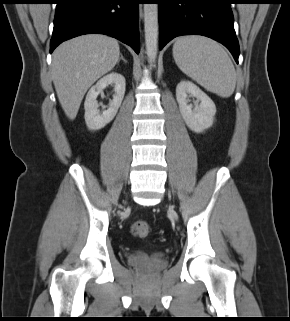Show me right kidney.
Here are the masks:
<instances>
[{
	"mask_svg": "<svg viewBox=\"0 0 290 321\" xmlns=\"http://www.w3.org/2000/svg\"><path fill=\"white\" fill-rule=\"evenodd\" d=\"M114 84L113 100L110 101L107 110L100 112L97 97L103 93V90L108 86ZM125 78L117 72H112L102 77L94 86L91 87L87 93L84 109L85 122L90 130H99L110 123L117 114L119 107L125 94Z\"/></svg>",
	"mask_w": 290,
	"mask_h": 321,
	"instance_id": "right-kidney-1",
	"label": "right kidney"
}]
</instances>
